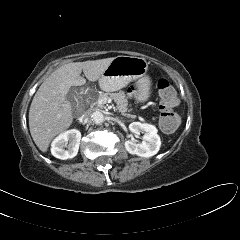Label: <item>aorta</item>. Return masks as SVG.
Listing matches in <instances>:
<instances>
[{"label":"aorta","instance_id":"1","mask_svg":"<svg viewBox=\"0 0 240 240\" xmlns=\"http://www.w3.org/2000/svg\"><path fill=\"white\" fill-rule=\"evenodd\" d=\"M92 120L95 124H101L104 121V115L100 111H95L92 114Z\"/></svg>","mask_w":240,"mask_h":240}]
</instances>
